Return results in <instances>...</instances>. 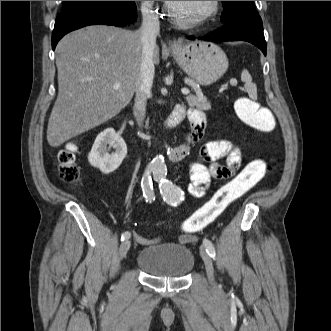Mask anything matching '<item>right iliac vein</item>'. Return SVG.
Returning <instances> with one entry per match:
<instances>
[{
  "mask_svg": "<svg viewBox=\"0 0 331 331\" xmlns=\"http://www.w3.org/2000/svg\"><path fill=\"white\" fill-rule=\"evenodd\" d=\"M130 245H131V243L128 239L124 240L121 243L120 248H119V257H120V259H123L126 256L128 250L130 248Z\"/></svg>",
  "mask_w": 331,
  "mask_h": 331,
  "instance_id": "right-iliac-vein-1",
  "label": "right iliac vein"
}]
</instances>
